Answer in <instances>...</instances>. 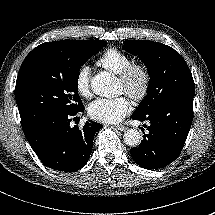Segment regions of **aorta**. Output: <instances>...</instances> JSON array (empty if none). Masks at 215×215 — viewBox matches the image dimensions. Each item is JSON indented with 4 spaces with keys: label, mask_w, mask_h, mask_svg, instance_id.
Instances as JSON below:
<instances>
[{
    "label": "aorta",
    "mask_w": 215,
    "mask_h": 215,
    "mask_svg": "<svg viewBox=\"0 0 215 215\" xmlns=\"http://www.w3.org/2000/svg\"><path fill=\"white\" fill-rule=\"evenodd\" d=\"M112 82L113 78L108 72H100L93 77L91 87L95 94L106 97L112 93ZM142 138L137 129H129L124 133V143L128 146H138Z\"/></svg>",
    "instance_id": "obj_1"
}]
</instances>
